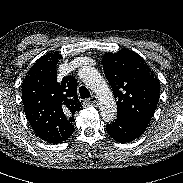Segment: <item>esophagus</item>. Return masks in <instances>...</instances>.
Segmentation results:
<instances>
[{"mask_svg":"<svg viewBox=\"0 0 183 183\" xmlns=\"http://www.w3.org/2000/svg\"><path fill=\"white\" fill-rule=\"evenodd\" d=\"M98 104V98L96 96H92L91 98L84 101V105L86 106H95Z\"/></svg>","mask_w":183,"mask_h":183,"instance_id":"34e87169","label":"esophagus"}]
</instances>
